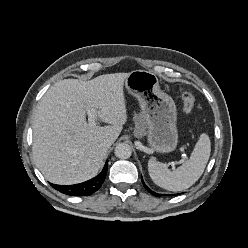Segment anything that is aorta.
Returning <instances> with one entry per match:
<instances>
[{"label": "aorta", "mask_w": 248, "mask_h": 248, "mask_svg": "<svg viewBox=\"0 0 248 248\" xmlns=\"http://www.w3.org/2000/svg\"><path fill=\"white\" fill-rule=\"evenodd\" d=\"M115 155L120 159H127L132 154L131 147L126 143H120L115 148Z\"/></svg>", "instance_id": "obj_1"}]
</instances>
